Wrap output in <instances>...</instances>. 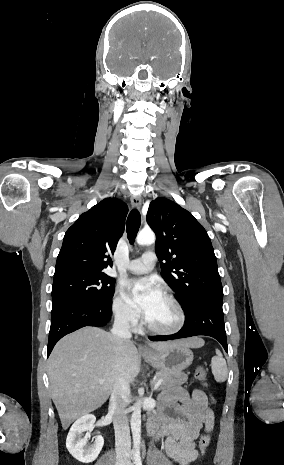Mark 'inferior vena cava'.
I'll list each match as a JSON object with an SVG mask.
<instances>
[{
	"label": "inferior vena cava",
	"instance_id": "602c4592",
	"mask_svg": "<svg viewBox=\"0 0 284 465\" xmlns=\"http://www.w3.org/2000/svg\"><path fill=\"white\" fill-rule=\"evenodd\" d=\"M111 333L122 341H129L132 337L130 315H117ZM129 399V383L125 379H119L113 387L109 403V415H112L115 431L116 465H130L131 439L126 411Z\"/></svg>",
	"mask_w": 284,
	"mask_h": 465
}]
</instances>
